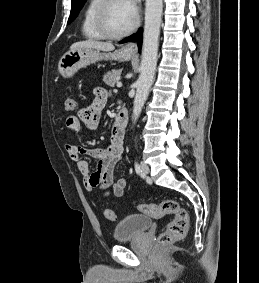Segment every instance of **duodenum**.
<instances>
[{"instance_id":"410a0bca","label":"duodenum","mask_w":259,"mask_h":283,"mask_svg":"<svg viewBox=\"0 0 259 283\" xmlns=\"http://www.w3.org/2000/svg\"><path fill=\"white\" fill-rule=\"evenodd\" d=\"M128 123V112L125 108H120L115 118L114 127L116 131H124Z\"/></svg>"}]
</instances>
